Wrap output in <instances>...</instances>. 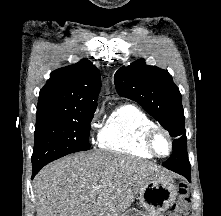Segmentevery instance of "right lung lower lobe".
<instances>
[{
  "instance_id": "obj_1",
  "label": "right lung lower lobe",
  "mask_w": 221,
  "mask_h": 216,
  "mask_svg": "<svg viewBox=\"0 0 221 216\" xmlns=\"http://www.w3.org/2000/svg\"><path fill=\"white\" fill-rule=\"evenodd\" d=\"M43 166H44V165L32 166V178L38 173V171H39Z\"/></svg>"
}]
</instances>
